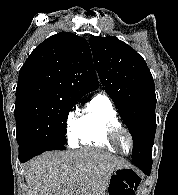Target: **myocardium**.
Masks as SVG:
<instances>
[{
  "mask_svg": "<svg viewBox=\"0 0 178 195\" xmlns=\"http://www.w3.org/2000/svg\"><path fill=\"white\" fill-rule=\"evenodd\" d=\"M122 133L127 134V136L129 137V140H130L131 149L128 152L123 151L122 148L120 147V144H119V139H120V136ZM108 139L116 147V149L122 154L127 155V154L131 153L134 149V146H135L134 135L127 127H125L121 124L114 125L109 129Z\"/></svg>",
  "mask_w": 178,
  "mask_h": 195,
  "instance_id": "myocardium-1",
  "label": "myocardium"
}]
</instances>
